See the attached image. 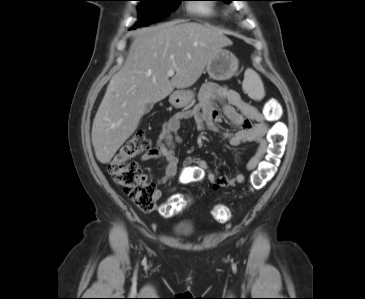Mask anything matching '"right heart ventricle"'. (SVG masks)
Listing matches in <instances>:
<instances>
[{
	"mask_svg": "<svg viewBox=\"0 0 365 299\" xmlns=\"http://www.w3.org/2000/svg\"><path fill=\"white\" fill-rule=\"evenodd\" d=\"M198 13L205 16H213L216 14V10L211 5H199L194 8Z\"/></svg>",
	"mask_w": 365,
	"mask_h": 299,
	"instance_id": "obj_1",
	"label": "right heart ventricle"
}]
</instances>
